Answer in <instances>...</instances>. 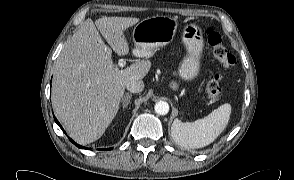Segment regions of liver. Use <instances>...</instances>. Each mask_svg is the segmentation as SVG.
<instances>
[{"instance_id":"liver-1","label":"liver","mask_w":294,"mask_h":180,"mask_svg":"<svg viewBox=\"0 0 294 180\" xmlns=\"http://www.w3.org/2000/svg\"><path fill=\"white\" fill-rule=\"evenodd\" d=\"M137 22L135 17H102L95 23L87 19L55 62L52 106L69 136L81 145L104 134L119 110L126 84L143 79L150 69V61L121 70L112 61V49L120 56L129 53L124 31Z\"/></svg>"}]
</instances>
